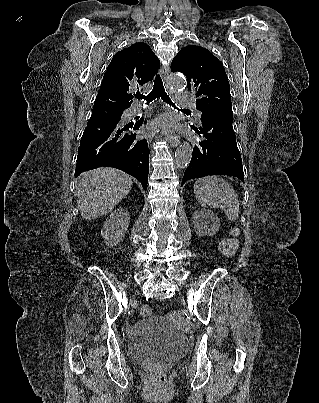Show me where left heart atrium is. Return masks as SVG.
Masks as SVG:
<instances>
[{"mask_svg": "<svg viewBox=\"0 0 319 403\" xmlns=\"http://www.w3.org/2000/svg\"><path fill=\"white\" fill-rule=\"evenodd\" d=\"M173 123L172 120L168 116L159 117L154 123L153 129H161L163 131H169L172 129Z\"/></svg>", "mask_w": 319, "mask_h": 403, "instance_id": "1", "label": "left heart atrium"}]
</instances>
